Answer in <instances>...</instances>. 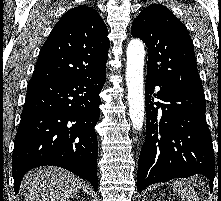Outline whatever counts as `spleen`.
Segmentation results:
<instances>
[{"label": "spleen", "mask_w": 221, "mask_h": 201, "mask_svg": "<svg viewBox=\"0 0 221 201\" xmlns=\"http://www.w3.org/2000/svg\"><path fill=\"white\" fill-rule=\"evenodd\" d=\"M173 189L178 196H180L182 201H199L197 192L194 188L182 181L174 182Z\"/></svg>", "instance_id": "1"}]
</instances>
